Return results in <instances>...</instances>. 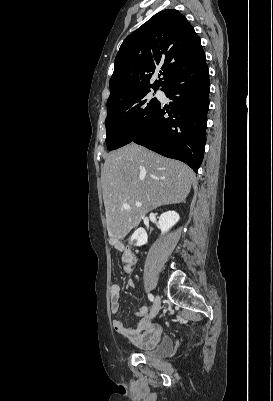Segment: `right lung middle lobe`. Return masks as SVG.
Listing matches in <instances>:
<instances>
[{"label":"right lung middle lobe","instance_id":"dd1d6c3e","mask_svg":"<svg viewBox=\"0 0 273 401\" xmlns=\"http://www.w3.org/2000/svg\"><path fill=\"white\" fill-rule=\"evenodd\" d=\"M149 92L150 90L139 92L107 107L105 124L109 150L130 143L141 126L152 117L160 102L156 98H150Z\"/></svg>","mask_w":273,"mask_h":401}]
</instances>
